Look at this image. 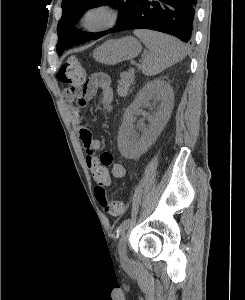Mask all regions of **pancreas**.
I'll return each instance as SVG.
<instances>
[{"label":"pancreas","instance_id":"cf45deb5","mask_svg":"<svg viewBox=\"0 0 245 300\" xmlns=\"http://www.w3.org/2000/svg\"><path fill=\"white\" fill-rule=\"evenodd\" d=\"M121 80L119 81V85L117 87V92L119 96L125 97L128 93L130 86L134 81V73L133 71L122 72L120 74Z\"/></svg>","mask_w":245,"mask_h":300}]
</instances>
